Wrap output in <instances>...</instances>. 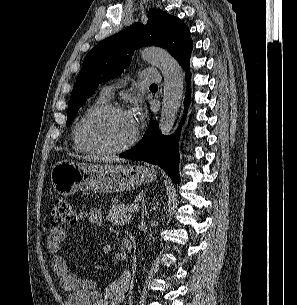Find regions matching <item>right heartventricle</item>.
<instances>
[{"mask_svg":"<svg viewBox=\"0 0 297 305\" xmlns=\"http://www.w3.org/2000/svg\"><path fill=\"white\" fill-rule=\"evenodd\" d=\"M106 100H107L106 98H104L103 96L100 95L97 99H95V101L92 104H90L84 110V112L82 113V115L80 116V118L78 119L76 124L74 125L73 132H72V141H73V147L75 150L80 151V152H87V153L91 152L90 150H88L81 144V142L78 138V134H77V126H78L79 121L83 118V116H85L91 110H93L99 106L105 105Z\"/></svg>","mask_w":297,"mask_h":305,"instance_id":"right-heart-ventricle-1","label":"right heart ventricle"}]
</instances>
